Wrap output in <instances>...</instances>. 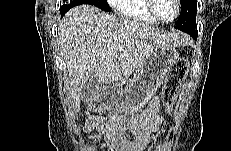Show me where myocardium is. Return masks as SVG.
Segmentation results:
<instances>
[{
	"instance_id": "obj_1",
	"label": "myocardium",
	"mask_w": 231,
	"mask_h": 151,
	"mask_svg": "<svg viewBox=\"0 0 231 151\" xmlns=\"http://www.w3.org/2000/svg\"><path fill=\"white\" fill-rule=\"evenodd\" d=\"M176 12L171 19H163L156 12V0H147L146 6L149 15L156 20L158 23L168 24L174 22L180 15L181 12V2L179 0H174Z\"/></svg>"
}]
</instances>
